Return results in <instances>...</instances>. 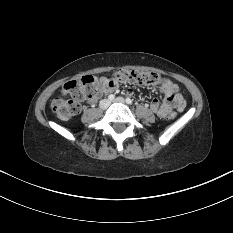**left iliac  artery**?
Segmentation results:
<instances>
[{
	"instance_id": "1",
	"label": "left iliac artery",
	"mask_w": 233,
	"mask_h": 233,
	"mask_svg": "<svg viewBox=\"0 0 233 233\" xmlns=\"http://www.w3.org/2000/svg\"><path fill=\"white\" fill-rule=\"evenodd\" d=\"M126 102H127L128 104H132V100H131L130 98H126Z\"/></svg>"
}]
</instances>
